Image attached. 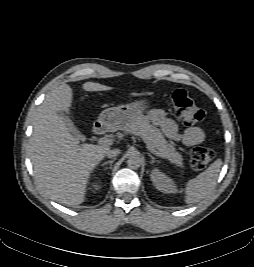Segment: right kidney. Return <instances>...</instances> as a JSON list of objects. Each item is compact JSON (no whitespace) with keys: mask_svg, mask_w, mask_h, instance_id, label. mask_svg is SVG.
I'll use <instances>...</instances> for the list:
<instances>
[{"mask_svg":"<svg viewBox=\"0 0 254 267\" xmlns=\"http://www.w3.org/2000/svg\"><path fill=\"white\" fill-rule=\"evenodd\" d=\"M98 183H99V182L93 183V184H94V185H93V186H94V188H96V189H97V187H99Z\"/></svg>","mask_w":254,"mask_h":267,"instance_id":"1","label":"right kidney"}]
</instances>
